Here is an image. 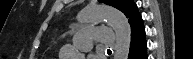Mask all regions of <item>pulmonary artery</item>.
Returning <instances> with one entry per match:
<instances>
[{
  "mask_svg": "<svg viewBox=\"0 0 193 59\" xmlns=\"http://www.w3.org/2000/svg\"><path fill=\"white\" fill-rule=\"evenodd\" d=\"M73 43L80 48H90L93 41L110 43L114 40L111 30L103 27L82 26L71 34Z\"/></svg>",
  "mask_w": 193,
  "mask_h": 59,
  "instance_id": "1",
  "label": "pulmonary artery"
}]
</instances>
